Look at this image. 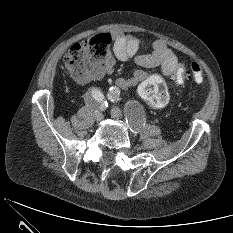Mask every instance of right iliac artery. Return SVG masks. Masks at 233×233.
<instances>
[{"mask_svg": "<svg viewBox=\"0 0 233 233\" xmlns=\"http://www.w3.org/2000/svg\"><path fill=\"white\" fill-rule=\"evenodd\" d=\"M85 101L90 106L98 109H103L106 106V101L104 100L102 92L97 89H93L88 92L85 96Z\"/></svg>", "mask_w": 233, "mask_h": 233, "instance_id": "82829eb1", "label": "right iliac artery"}]
</instances>
